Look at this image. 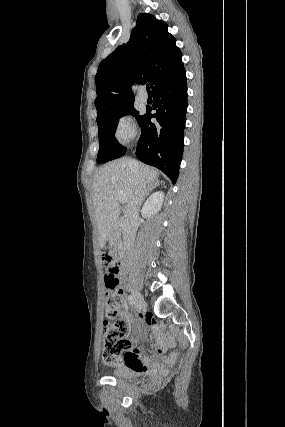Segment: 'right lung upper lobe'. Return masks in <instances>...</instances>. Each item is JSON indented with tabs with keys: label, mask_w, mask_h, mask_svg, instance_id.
<instances>
[{
	"label": "right lung upper lobe",
	"mask_w": 285,
	"mask_h": 427,
	"mask_svg": "<svg viewBox=\"0 0 285 427\" xmlns=\"http://www.w3.org/2000/svg\"><path fill=\"white\" fill-rule=\"evenodd\" d=\"M167 24L151 14H140L130 40L99 65L95 76L97 123L133 105V82L147 80L152 91L184 71L182 53Z\"/></svg>",
	"instance_id": "obj_1"
}]
</instances>
